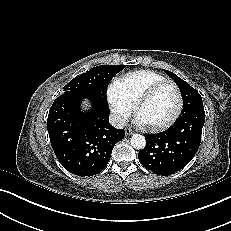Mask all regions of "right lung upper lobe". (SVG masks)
<instances>
[{
    "label": "right lung upper lobe",
    "mask_w": 231,
    "mask_h": 231,
    "mask_svg": "<svg viewBox=\"0 0 231 231\" xmlns=\"http://www.w3.org/2000/svg\"><path fill=\"white\" fill-rule=\"evenodd\" d=\"M111 66L118 67V68H123V67H125L126 65H111Z\"/></svg>",
    "instance_id": "obj_1"
}]
</instances>
